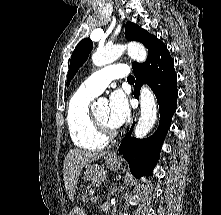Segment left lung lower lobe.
I'll return each mask as SVG.
<instances>
[{
	"label": "left lung lower lobe",
	"mask_w": 221,
	"mask_h": 215,
	"mask_svg": "<svg viewBox=\"0 0 221 215\" xmlns=\"http://www.w3.org/2000/svg\"><path fill=\"white\" fill-rule=\"evenodd\" d=\"M133 71L136 77L135 98H139L142 84H148L157 98L160 112L159 127L152 136L147 139L131 137L132 127L119 147V153L129 163L131 172L140 177L151 175L157 163L163 140L176 111L178 90L174 62L165 44L155 51L144 66Z\"/></svg>",
	"instance_id": "1"
}]
</instances>
